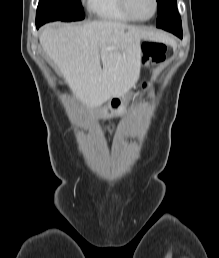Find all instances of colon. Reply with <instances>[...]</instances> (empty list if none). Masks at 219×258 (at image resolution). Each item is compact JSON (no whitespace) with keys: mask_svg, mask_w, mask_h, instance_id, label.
Masks as SVG:
<instances>
[{"mask_svg":"<svg viewBox=\"0 0 219 258\" xmlns=\"http://www.w3.org/2000/svg\"><path fill=\"white\" fill-rule=\"evenodd\" d=\"M142 52L144 61L156 65L165 59L166 46L159 42L145 41L142 43Z\"/></svg>","mask_w":219,"mask_h":258,"instance_id":"1","label":"colon"}]
</instances>
